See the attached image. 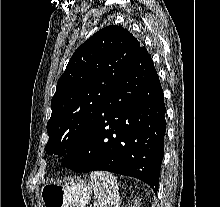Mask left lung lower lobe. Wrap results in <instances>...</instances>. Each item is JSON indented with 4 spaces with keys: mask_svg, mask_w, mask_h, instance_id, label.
Masks as SVG:
<instances>
[{
    "mask_svg": "<svg viewBox=\"0 0 220 207\" xmlns=\"http://www.w3.org/2000/svg\"><path fill=\"white\" fill-rule=\"evenodd\" d=\"M165 111L153 61L140 46L110 91L90 132L65 157L63 166L77 172L105 170L135 177L157 193Z\"/></svg>",
    "mask_w": 220,
    "mask_h": 207,
    "instance_id": "obj_1",
    "label": "left lung lower lobe"
}]
</instances>
